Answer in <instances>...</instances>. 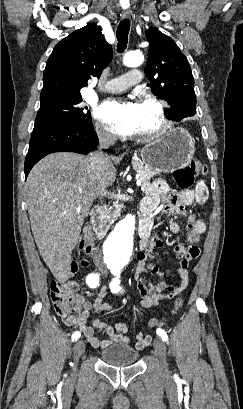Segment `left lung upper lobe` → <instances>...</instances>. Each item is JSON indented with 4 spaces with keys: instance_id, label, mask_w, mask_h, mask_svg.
<instances>
[{
    "instance_id": "obj_1",
    "label": "left lung upper lobe",
    "mask_w": 243,
    "mask_h": 409,
    "mask_svg": "<svg viewBox=\"0 0 243 409\" xmlns=\"http://www.w3.org/2000/svg\"><path fill=\"white\" fill-rule=\"evenodd\" d=\"M145 35L150 43L145 74L151 79L153 94L170 104V119L179 114L196 113L194 78L187 58L176 43L157 28H149Z\"/></svg>"
}]
</instances>
